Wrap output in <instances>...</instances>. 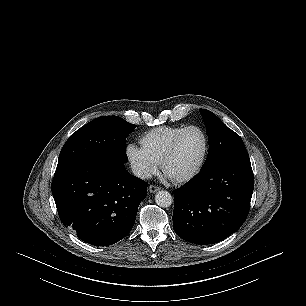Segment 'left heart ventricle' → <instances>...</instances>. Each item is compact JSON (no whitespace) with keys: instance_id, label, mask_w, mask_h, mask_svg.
I'll list each match as a JSON object with an SVG mask.
<instances>
[{"instance_id":"1","label":"left heart ventricle","mask_w":306,"mask_h":306,"mask_svg":"<svg viewBox=\"0 0 306 306\" xmlns=\"http://www.w3.org/2000/svg\"><path fill=\"white\" fill-rule=\"evenodd\" d=\"M204 151V138L196 130H188L179 142L177 151L167 163L165 173L175 179L190 174L198 166Z\"/></svg>"}]
</instances>
